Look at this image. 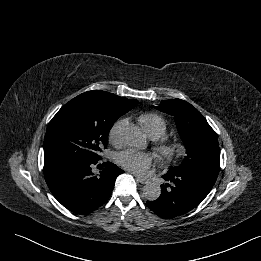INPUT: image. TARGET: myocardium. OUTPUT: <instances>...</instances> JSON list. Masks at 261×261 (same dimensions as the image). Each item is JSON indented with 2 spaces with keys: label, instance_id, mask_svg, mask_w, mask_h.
Returning <instances> with one entry per match:
<instances>
[{
  "label": "myocardium",
  "instance_id": "myocardium-1",
  "mask_svg": "<svg viewBox=\"0 0 261 261\" xmlns=\"http://www.w3.org/2000/svg\"><path fill=\"white\" fill-rule=\"evenodd\" d=\"M153 148L159 160L162 162H168L172 160L178 152L177 143L169 139H161L155 142Z\"/></svg>",
  "mask_w": 261,
  "mask_h": 261
}]
</instances>
